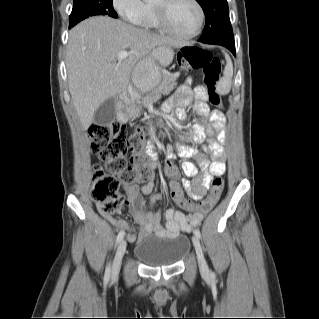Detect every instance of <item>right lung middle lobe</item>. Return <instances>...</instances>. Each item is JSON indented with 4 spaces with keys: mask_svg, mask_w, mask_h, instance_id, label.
I'll list each match as a JSON object with an SVG mask.
<instances>
[{
    "mask_svg": "<svg viewBox=\"0 0 319 319\" xmlns=\"http://www.w3.org/2000/svg\"><path fill=\"white\" fill-rule=\"evenodd\" d=\"M95 15H109L116 18L113 0H74L73 9L69 16V28Z\"/></svg>",
    "mask_w": 319,
    "mask_h": 319,
    "instance_id": "right-lung-middle-lobe-1",
    "label": "right lung middle lobe"
}]
</instances>
